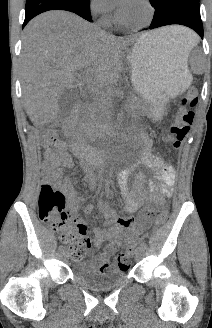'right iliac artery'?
<instances>
[{
  "label": "right iliac artery",
  "mask_w": 212,
  "mask_h": 328,
  "mask_svg": "<svg viewBox=\"0 0 212 328\" xmlns=\"http://www.w3.org/2000/svg\"><path fill=\"white\" fill-rule=\"evenodd\" d=\"M59 249L61 252H63L65 248L63 246H60Z\"/></svg>",
  "instance_id": "82829eb1"
}]
</instances>
